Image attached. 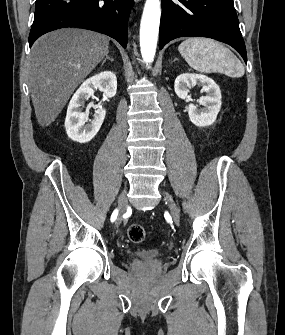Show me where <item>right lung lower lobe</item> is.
<instances>
[{"mask_svg": "<svg viewBox=\"0 0 285 335\" xmlns=\"http://www.w3.org/2000/svg\"><path fill=\"white\" fill-rule=\"evenodd\" d=\"M133 0H36L30 47L41 35L66 27L104 33L127 46V22Z\"/></svg>", "mask_w": 285, "mask_h": 335, "instance_id": "right-lung-lower-lobe-1", "label": "right lung lower lobe"}]
</instances>
